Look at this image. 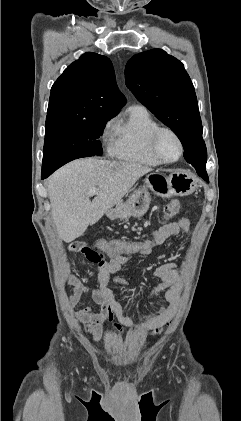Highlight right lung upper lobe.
<instances>
[{"mask_svg": "<svg viewBox=\"0 0 241 421\" xmlns=\"http://www.w3.org/2000/svg\"><path fill=\"white\" fill-rule=\"evenodd\" d=\"M124 104L110 59L86 53L53 84L47 114L115 116Z\"/></svg>", "mask_w": 241, "mask_h": 421, "instance_id": "cb5924a9", "label": "right lung upper lobe"}]
</instances>
